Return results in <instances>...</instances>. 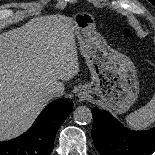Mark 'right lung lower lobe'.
Masks as SVG:
<instances>
[{"instance_id": "right-lung-lower-lobe-1", "label": "right lung lower lobe", "mask_w": 155, "mask_h": 155, "mask_svg": "<svg viewBox=\"0 0 155 155\" xmlns=\"http://www.w3.org/2000/svg\"><path fill=\"white\" fill-rule=\"evenodd\" d=\"M73 109L69 99L60 98L41 112L23 135L0 142V155H50L56 133Z\"/></svg>"}]
</instances>
